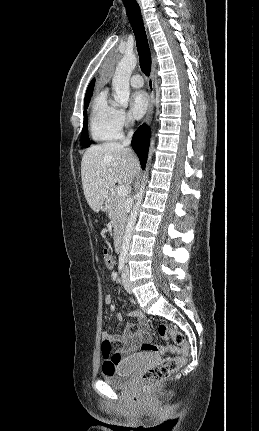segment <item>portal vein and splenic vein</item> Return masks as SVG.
Returning <instances> with one entry per match:
<instances>
[{
	"mask_svg": "<svg viewBox=\"0 0 259 431\" xmlns=\"http://www.w3.org/2000/svg\"><path fill=\"white\" fill-rule=\"evenodd\" d=\"M128 194V190L125 186H119L117 188V195L120 197H125Z\"/></svg>",
	"mask_w": 259,
	"mask_h": 431,
	"instance_id": "18ae733b",
	"label": "portal vein and splenic vein"
}]
</instances>
